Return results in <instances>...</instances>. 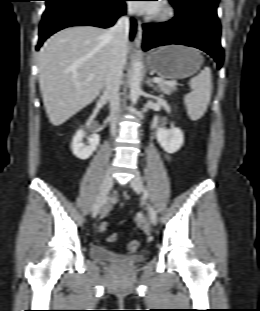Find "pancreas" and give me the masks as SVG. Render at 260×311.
<instances>
[{
	"instance_id": "obj_1",
	"label": "pancreas",
	"mask_w": 260,
	"mask_h": 311,
	"mask_svg": "<svg viewBox=\"0 0 260 311\" xmlns=\"http://www.w3.org/2000/svg\"><path fill=\"white\" fill-rule=\"evenodd\" d=\"M160 79L162 80V82L158 83L157 86L161 92H163L164 94L170 95L173 91L176 90L175 85L168 84L162 78Z\"/></svg>"
}]
</instances>
